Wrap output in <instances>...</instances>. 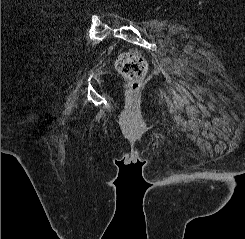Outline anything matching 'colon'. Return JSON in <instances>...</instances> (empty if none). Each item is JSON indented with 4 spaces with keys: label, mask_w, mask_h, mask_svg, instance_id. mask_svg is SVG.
I'll use <instances>...</instances> for the list:
<instances>
[{
    "label": "colon",
    "mask_w": 245,
    "mask_h": 239,
    "mask_svg": "<svg viewBox=\"0 0 245 239\" xmlns=\"http://www.w3.org/2000/svg\"><path fill=\"white\" fill-rule=\"evenodd\" d=\"M115 66L132 91L141 87L147 72V62L139 51L130 50L122 53L117 58Z\"/></svg>",
    "instance_id": "5ec220e1"
}]
</instances>
